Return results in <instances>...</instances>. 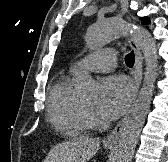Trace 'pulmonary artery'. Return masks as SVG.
<instances>
[{"label":"pulmonary artery","mask_w":168,"mask_h":162,"mask_svg":"<svg viewBox=\"0 0 168 162\" xmlns=\"http://www.w3.org/2000/svg\"><path fill=\"white\" fill-rule=\"evenodd\" d=\"M117 62V53L114 49H102L93 52L74 63L71 67L73 72L86 69L96 72H109L113 70Z\"/></svg>","instance_id":"e3ab8cb5"}]
</instances>
